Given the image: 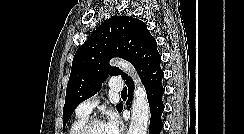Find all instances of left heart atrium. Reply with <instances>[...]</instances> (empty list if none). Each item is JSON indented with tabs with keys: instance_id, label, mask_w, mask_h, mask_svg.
Here are the masks:
<instances>
[{
	"instance_id": "obj_1",
	"label": "left heart atrium",
	"mask_w": 244,
	"mask_h": 134,
	"mask_svg": "<svg viewBox=\"0 0 244 134\" xmlns=\"http://www.w3.org/2000/svg\"><path fill=\"white\" fill-rule=\"evenodd\" d=\"M108 134H121L120 121L118 117L111 116L108 122L105 124Z\"/></svg>"
}]
</instances>
